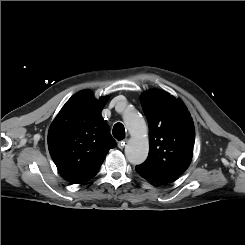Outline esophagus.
Segmentation results:
<instances>
[{"label":"esophagus","instance_id":"1","mask_svg":"<svg viewBox=\"0 0 245 245\" xmlns=\"http://www.w3.org/2000/svg\"><path fill=\"white\" fill-rule=\"evenodd\" d=\"M126 143H127V140L125 139V140H122V141H120L119 143H118V147L120 148V149H123L125 146H126Z\"/></svg>","mask_w":245,"mask_h":245}]
</instances>
